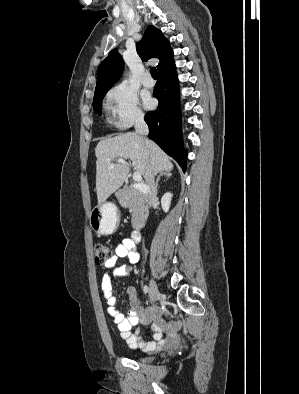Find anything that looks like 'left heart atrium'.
<instances>
[{"instance_id":"obj_1","label":"left heart atrium","mask_w":299,"mask_h":394,"mask_svg":"<svg viewBox=\"0 0 299 394\" xmlns=\"http://www.w3.org/2000/svg\"><path fill=\"white\" fill-rule=\"evenodd\" d=\"M144 105L146 108H152L154 105V102L149 96H145L144 97Z\"/></svg>"}]
</instances>
